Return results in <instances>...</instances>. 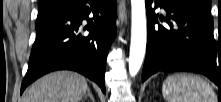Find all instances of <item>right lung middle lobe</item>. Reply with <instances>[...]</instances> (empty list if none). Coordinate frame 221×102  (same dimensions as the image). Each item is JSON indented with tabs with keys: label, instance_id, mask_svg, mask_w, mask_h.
Returning a JSON list of instances; mask_svg holds the SVG:
<instances>
[{
	"label": "right lung middle lobe",
	"instance_id": "dd1d6c3e",
	"mask_svg": "<svg viewBox=\"0 0 221 102\" xmlns=\"http://www.w3.org/2000/svg\"><path fill=\"white\" fill-rule=\"evenodd\" d=\"M71 3H65L54 7H48L43 9H38V16L36 21V26L42 24L46 20L52 18L58 14L62 9L68 7ZM35 26V27H36Z\"/></svg>",
	"mask_w": 221,
	"mask_h": 102
}]
</instances>
